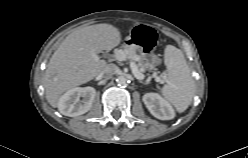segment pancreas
Listing matches in <instances>:
<instances>
[{"label":"pancreas","mask_w":248,"mask_h":158,"mask_svg":"<svg viewBox=\"0 0 248 158\" xmlns=\"http://www.w3.org/2000/svg\"><path fill=\"white\" fill-rule=\"evenodd\" d=\"M123 51L126 53V58L137 62L136 65L139 68V71L144 72L149 66V63L136 53L135 48L131 46H124Z\"/></svg>","instance_id":"cf45deb5"}]
</instances>
